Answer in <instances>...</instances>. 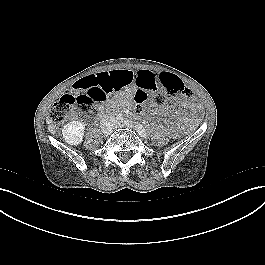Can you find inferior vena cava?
I'll return each instance as SVG.
<instances>
[{"instance_id": "1", "label": "inferior vena cava", "mask_w": 265, "mask_h": 265, "mask_svg": "<svg viewBox=\"0 0 265 265\" xmlns=\"http://www.w3.org/2000/svg\"><path fill=\"white\" fill-rule=\"evenodd\" d=\"M106 121V119H104L102 122H105Z\"/></svg>"}]
</instances>
